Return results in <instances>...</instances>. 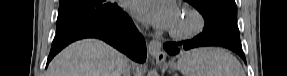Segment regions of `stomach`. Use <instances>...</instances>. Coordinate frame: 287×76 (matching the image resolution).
<instances>
[{
	"label": "stomach",
	"instance_id": "1",
	"mask_svg": "<svg viewBox=\"0 0 287 76\" xmlns=\"http://www.w3.org/2000/svg\"><path fill=\"white\" fill-rule=\"evenodd\" d=\"M170 67H171L172 69H179L178 63H171V64H170Z\"/></svg>",
	"mask_w": 287,
	"mask_h": 76
}]
</instances>
